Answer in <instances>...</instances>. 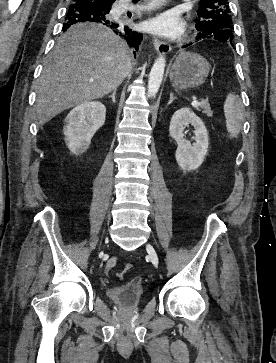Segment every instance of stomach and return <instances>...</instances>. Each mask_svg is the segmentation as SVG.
Instances as JSON below:
<instances>
[{
    "mask_svg": "<svg viewBox=\"0 0 276 363\" xmlns=\"http://www.w3.org/2000/svg\"><path fill=\"white\" fill-rule=\"evenodd\" d=\"M209 71V62L204 57L196 53L181 52L171 66L169 78L177 89H194L206 81Z\"/></svg>",
    "mask_w": 276,
    "mask_h": 363,
    "instance_id": "obj_1",
    "label": "stomach"
}]
</instances>
